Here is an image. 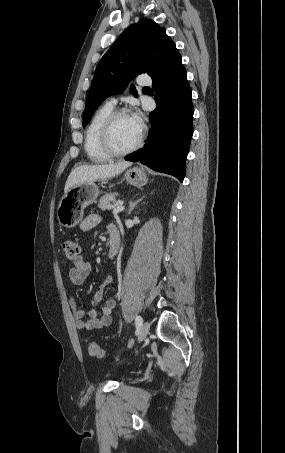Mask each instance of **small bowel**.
I'll list each match as a JSON object with an SVG mask.
<instances>
[{
  "mask_svg": "<svg viewBox=\"0 0 285 453\" xmlns=\"http://www.w3.org/2000/svg\"><path fill=\"white\" fill-rule=\"evenodd\" d=\"M101 221L100 216L90 215L86 217L81 223V229L84 231L91 230ZM109 237L120 239L118 230L114 226L109 227ZM92 267L83 255H80L72 264L69 269V277L73 284H82L90 275ZM112 282V277L108 276L99 286L95 293L93 304L97 308L88 312L81 310L75 297H70L69 304L71 307L72 315L75 319L76 326L79 329L94 330L108 327L112 323V312L116 305L114 299L109 298L103 304H100L103 298L105 288Z\"/></svg>",
  "mask_w": 285,
  "mask_h": 453,
  "instance_id": "obj_1",
  "label": "small bowel"
}]
</instances>
